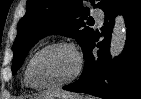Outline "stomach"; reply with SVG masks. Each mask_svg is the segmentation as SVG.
<instances>
[{
  "mask_svg": "<svg viewBox=\"0 0 141 99\" xmlns=\"http://www.w3.org/2000/svg\"><path fill=\"white\" fill-rule=\"evenodd\" d=\"M37 99H52V98H50V97H48V96H40V97H38Z\"/></svg>",
  "mask_w": 141,
  "mask_h": 99,
  "instance_id": "obj_1",
  "label": "stomach"
}]
</instances>
